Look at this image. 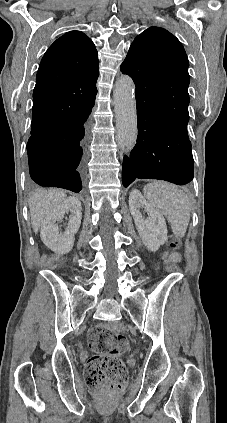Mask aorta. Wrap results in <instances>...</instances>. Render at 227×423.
I'll return each instance as SVG.
<instances>
[{"mask_svg": "<svg viewBox=\"0 0 227 423\" xmlns=\"http://www.w3.org/2000/svg\"><path fill=\"white\" fill-rule=\"evenodd\" d=\"M134 82L129 76H121L115 83L114 106L116 114L117 141L129 152L137 139L136 100Z\"/></svg>", "mask_w": 227, "mask_h": 423, "instance_id": "obj_1", "label": "aorta"}]
</instances>
